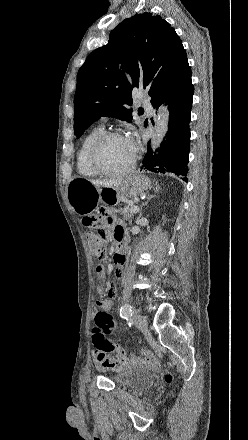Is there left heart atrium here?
<instances>
[{
  "label": "left heart atrium",
  "mask_w": 248,
  "mask_h": 440,
  "mask_svg": "<svg viewBox=\"0 0 248 440\" xmlns=\"http://www.w3.org/2000/svg\"><path fill=\"white\" fill-rule=\"evenodd\" d=\"M126 139H127V141H128V144H129L130 148H131L133 151H135V149H136V143H135L134 139H133L132 137H128V138H126Z\"/></svg>",
  "instance_id": "39dd6f15"
}]
</instances>
